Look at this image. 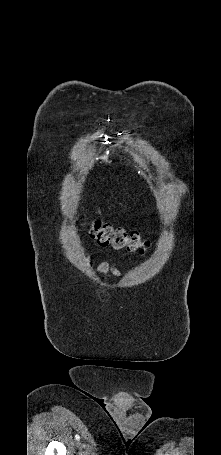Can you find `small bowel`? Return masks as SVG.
I'll use <instances>...</instances> for the list:
<instances>
[{
	"label": "small bowel",
	"mask_w": 221,
	"mask_h": 455,
	"mask_svg": "<svg viewBox=\"0 0 221 455\" xmlns=\"http://www.w3.org/2000/svg\"><path fill=\"white\" fill-rule=\"evenodd\" d=\"M86 262L89 268L95 266L98 275L102 278L108 274H111L119 279L124 277L123 272L117 264L105 257H101L96 263H94L92 258H88Z\"/></svg>",
	"instance_id": "c3829d8e"
}]
</instances>
